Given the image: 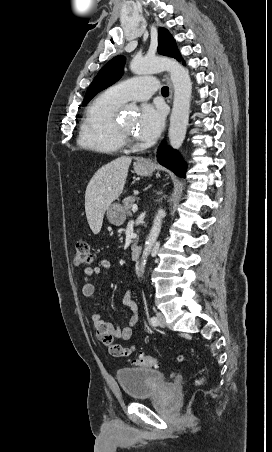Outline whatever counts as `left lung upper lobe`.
<instances>
[{
  "label": "left lung upper lobe",
  "instance_id": "5c2ea615",
  "mask_svg": "<svg viewBox=\"0 0 272 452\" xmlns=\"http://www.w3.org/2000/svg\"><path fill=\"white\" fill-rule=\"evenodd\" d=\"M158 53L177 60L181 59L175 40L164 28L158 30ZM125 60L124 56H116L101 68L85 94L83 105H86L97 92L111 86L121 78Z\"/></svg>",
  "mask_w": 272,
  "mask_h": 452
}]
</instances>
